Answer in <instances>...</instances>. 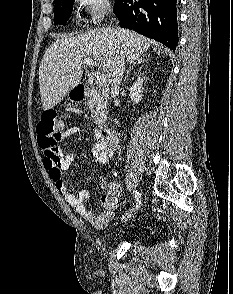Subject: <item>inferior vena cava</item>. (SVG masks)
I'll return each instance as SVG.
<instances>
[{"label":"inferior vena cava","mask_w":233,"mask_h":294,"mask_svg":"<svg viewBox=\"0 0 233 294\" xmlns=\"http://www.w3.org/2000/svg\"><path fill=\"white\" fill-rule=\"evenodd\" d=\"M125 71V58L124 56H121L114 67L113 70V77H112V82H111V97L116 99V96L119 93V85L120 82L122 81V77Z\"/></svg>","instance_id":"inferior-vena-cava-1"}]
</instances>
